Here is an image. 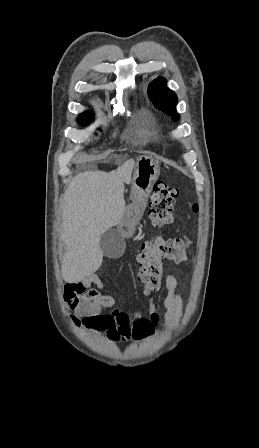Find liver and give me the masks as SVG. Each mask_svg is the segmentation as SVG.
Here are the masks:
<instances>
[{
  "label": "liver",
  "mask_w": 259,
  "mask_h": 448,
  "mask_svg": "<svg viewBox=\"0 0 259 448\" xmlns=\"http://www.w3.org/2000/svg\"><path fill=\"white\" fill-rule=\"evenodd\" d=\"M134 160L113 172H82L73 178L63 198L62 240L66 254L62 276L78 284L92 276L103 262L100 236L120 224L125 200L124 182H130Z\"/></svg>",
  "instance_id": "liver-1"
}]
</instances>
